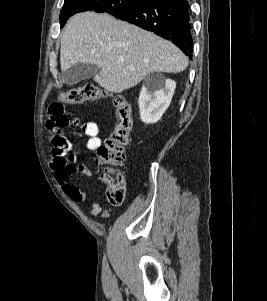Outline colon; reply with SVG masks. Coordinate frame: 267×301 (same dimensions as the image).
<instances>
[{"label": "colon", "instance_id": "1", "mask_svg": "<svg viewBox=\"0 0 267 301\" xmlns=\"http://www.w3.org/2000/svg\"><path fill=\"white\" fill-rule=\"evenodd\" d=\"M111 98L116 112V126L109 138L97 149L96 163L107 167L101 174L106 185V197L110 204L121 205L125 199L126 182L122 171L117 169L125 161V147L132 127L131 106L122 95H113L94 84H86L58 94L61 102L80 104Z\"/></svg>", "mask_w": 267, "mask_h": 301}]
</instances>
